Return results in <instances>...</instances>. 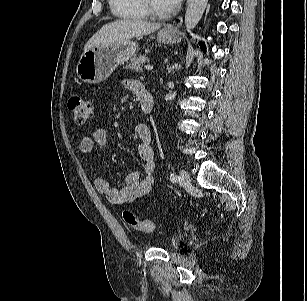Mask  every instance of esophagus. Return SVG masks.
Segmentation results:
<instances>
[{
    "label": "esophagus",
    "instance_id": "esophagus-1",
    "mask_svg": "<svg viewBox=\"0 0 307 301\" xmlns=\"http://www.w3.org/2000/svg\"><path fill=\"white\" fill-rule=\"evenodd\" d=\"M168 30H172V28H171V27H168Z\"/></svg>",
    "mask_w": 307,
    "mask_h": 301
}]
</instances>
